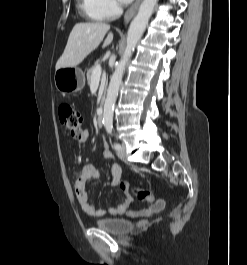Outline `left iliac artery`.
Listing matches in <instances>:
<instances>
[{
	"mask_svg": "<svg viewBox=\"0 0 247 265\" xmlns=\"http://www.w3.org/2000/svg\"><path fill=\"white\" fill-rule=\"evenodd\" d=\"M112 129H113L112 124H108V125H106V130H107V132H108L109 134H112ZM113 147H114V149L118 150V149L120 148V144H118V143H114Z\"/></svg>",
	"mask_w": 247,
	"mask_h": 265,
	"instance_id": "left-iliac-artery-1",
	"label": "left iliac artery"
}]
</instances>
